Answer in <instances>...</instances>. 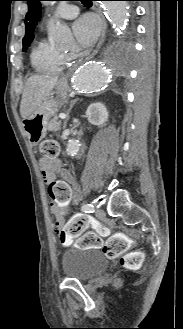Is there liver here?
Returning <instances> with one entry per match:
<instances>
[{"instance_id":"6515ba94","label":"liver","mask_w":183,"mask_h":329,"mask_svg":"<svg viewBox=\"0 0 183 329\" xmlns=\"http://www.w3.org/2000/svg\"><path fill=\"white\" fill-rule=\"evenodd\" d=\"M58 78L48 75H33L26 81L20 104L23 119L29 117L50 95Z\"/></svg>"}]
</instances>
